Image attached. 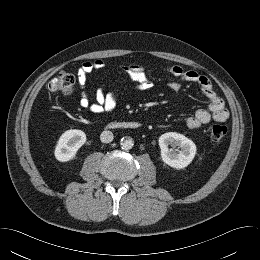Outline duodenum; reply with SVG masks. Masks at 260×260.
Segmentation results:
<instances>
[{"instance_id": "1", "label": "duodenum", "mask_w": 260, "mask_h": 260, "mask_svg": "<svg viewBox=\"0 0 260 260\" xmlns=\"http://www.w3.org/2000/svg\"><path fill=\"white\" fill-rule=\"evenodd\" d=\"M109 127L112 129L139 130L142 124L140 122H114Z\"/></svg>"}]
</instances>
